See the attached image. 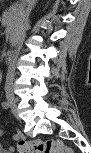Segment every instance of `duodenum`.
Instances as JSON below:
<instances>
[{
    "label": "duodenum",
    "mask_w": 91,
    "mask_h": 153,
    "mask_svg": "<svg viewBox=\"0 0 91 153\" xmlns=\"http://www.w3.org/2000/svg\"><path fill=\"white\" fill-rule=\"evenodd\" d=\"M17 56V51L15 49H10L5 52L4 54V63L6 65L12 64V62L15 60Z\"/></svg>",
    "instance_id": "410a0bca"
}]
</instances>
